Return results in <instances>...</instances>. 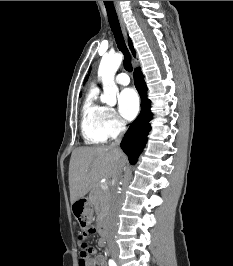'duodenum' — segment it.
<instances>
[{
	"instance_id": "1",
	"label": "duodenum",
	"mask_w": 233,
	"mask_h": 266,
	"mask_svg": "<svg viewBox=\"0 0 233 266\" xmlns=\"http://www.w3.org/2000/svg\"><path fill=\"white\" fill-rule=\"evenodd\" d=\"M98 230H99L100 234H101L104 238L107 237V234H108V233H107V228H106L104 222H102V221L99 222V224H98Z\"/></svg>"
}]
</instances>
